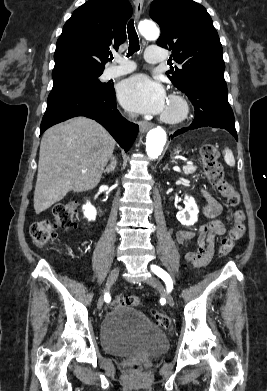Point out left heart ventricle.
<instances>
[{
	"label": "left heart ventricle",
	"mask_w": 267,
	"mask_h": 391,
	"mask_svg": "<svg viewBox=\"0 0 267 391\" xmlns=\"http://www.w3.org/2000/svg\"><path fill=\"white\" fill-rule=\"evenodd\" d=\"M176 106L173 105V104H167L166 108H165V111L169 112V113H174L176 111Z\"/></svg>",
	"instance_id": "b2bd125f"
}]
</instances>
